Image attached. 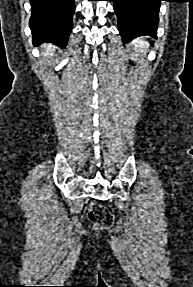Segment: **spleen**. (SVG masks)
Here are the masks:
<instances>
[{
  "mask_svg": "<svg viewBox=\"0 0 193 287\" xmlns=\"http://www.w3.org/2000/svg\"><path fill=\"white\" fill-rule=\"evenodd\" d=\"M148 47H149L148 42L144 41L141 38L136 39L135 42L133 43V49L137 56H139L140 53H144L145 49H147Z\"/></svg>",
  "mask_w": 193,
  "mask_h": 287,
  "instance_id": "1",
  "label": "spleen"
}]
</instances>
